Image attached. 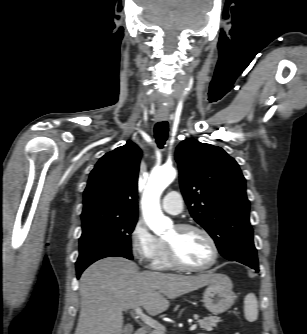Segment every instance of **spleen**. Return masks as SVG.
Masks as SVG:
<instances>
[{
  "mask_svg": "<svg viewBox=\"0 0 307 334\" xmlns=\"http://www.w3.org/2000/svg\"><path fill=\"white\" fill-rule=\"evenodd\" d=\"M245 318L249 322H254L258 317V301L254 293H249L244 298Z\"/></svg>",
  "mask_w": 307,
  "mask_h": 334,
  "instance_id": "obj_1",
  "label": "spleen"
}]
</instances>
